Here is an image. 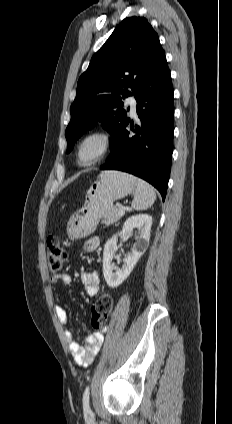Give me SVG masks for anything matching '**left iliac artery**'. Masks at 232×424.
<instances>
[{
  "instance_id": "left-iliac-artery-1",
  "label": "left iliac artery",
  "mask_w": 232,
  "mask_h": 424,
  "mask_svg": "<svg viewBox=\"0 0 232 424\" xmlns=\"http://www.w3.org/2000/svg\"><path fill=\"white\" fill-rule=\"evenodd\" d=\"M90 388H89V386H87L86 388H85V391H84V394H83V408H84V411H89L90 410V407H89V394H90Z\"/></svg>"
}]
</instances>
